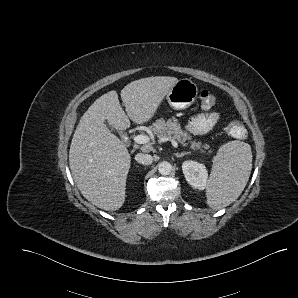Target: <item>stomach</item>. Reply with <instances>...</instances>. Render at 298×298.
<instances>
[{
    "label": "stomach",
    "instance_id": "stomach-1",
    "mask_svg": "<svg viewBox=\"0 0 298 298\" xmlns=\"http://www.w3.org/2000/svg\"><path fill=\"white\" fill-rule=\"evenodd\" d=\"M198 97V87L188 78L179 79L166 95L168 105L173 110H185L192 106Z\"/></svg>",
    "mask_w": 298,
    "mask_h": 298
}]
</instances>
